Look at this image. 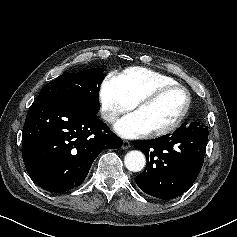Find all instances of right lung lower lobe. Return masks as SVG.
Instances as JSON below:
<instances>
[{
    "label": "right lung lower lobe",
    "instance_id": "right-lung-lower-lobe-1",
    "mask_svg": "<svg viewBox=\"0 0 237 237\" xmlns=\"http://www.w3.org/2000/svg\"><path fill=\"white\" fill-rule=\"evenodd\" d=\"M122 142L96 114L64 100L39 97L24 123L22 157L37 185L59 193L81 185L95 158Z\"/></svg>",
    "mask_w": 237,
    "mask_h": 237
}]
</instances>
